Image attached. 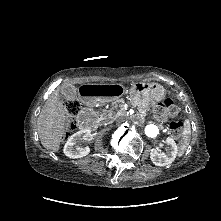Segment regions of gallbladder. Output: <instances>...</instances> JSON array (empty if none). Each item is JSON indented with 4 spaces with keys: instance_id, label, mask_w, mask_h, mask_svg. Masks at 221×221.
Masks as SVG:
<instances>
[{
    "instance_id": "obj_1",
    "label": "gallbladder",
    "mask_w": 221,
    "mask_h": 221,
    "mask_svg": "<svg viewBox=\"0 0 221 221\" xmlns=\"http://www.w3.org/2000/svg\"><path fill=\"white\" fill-rule=\"evenodd\" d=\"M61 97L65 100H75L78 97L77 89L72 85H65L61 88Z\"/></svg>"
}]
</instances>
